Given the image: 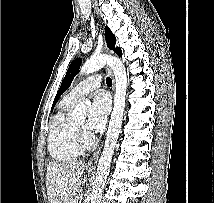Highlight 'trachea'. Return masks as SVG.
I'll return each mask as SVG.
<instances>
[{"mask_svg":"<svg viewBox=\"0 0 214 203\" xmlns=\"http://www.w3.org/2000/svg\"><path fill=\"white\" fill-rule=\"evenodd\" d=\"M106 84H107L108 86H112V80H111L110 77H107V78H106Z\"/></svg>","mask_w":214,"mask_h":203,"instance_id":"obj_1","label":"trachea"}]
</instances>
